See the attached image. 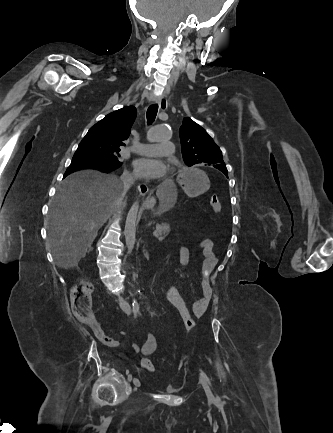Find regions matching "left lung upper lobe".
<instances>
[{"label":"left lung upper lobe","instance_id":"5c2ea615","mask_svg":"<svg viewBox=\"0 0 333 433\" xmlns=\"http://www.w3.org/2000/svg\"><path fill=\"white\" fill-rule=\"evenodd\" d=\"M179 133L182 155L187 166L212 164L220 167V171L228 176L221 150L200 125L190 118H184Z\"/></svg>","mask_w":333,"mask_h":433}]
</instances>
